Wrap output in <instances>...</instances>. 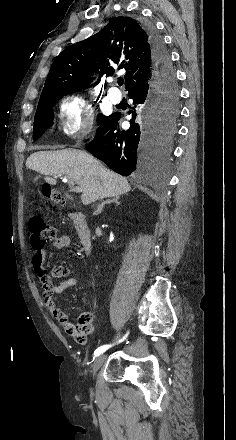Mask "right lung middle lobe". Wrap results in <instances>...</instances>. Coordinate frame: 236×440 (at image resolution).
<instances>
[{
    "mask_svg": "<svg viewBox=\"0 0 236 440\" xmlns=\"http://www.w3.org/2000/svg\"><path fill=\"white\" fill-rule=\"evenodd\" d=\"M63 94L65 93L51 95L39 100L34 118V140L38 139L44 133V131L52 125V106L62 97ZM153 94L155 99L161 104V110L159 112L158 140L159 143L164 146V152L157 159L156 163L160 164L164 161L169 153V143L174 134V122L178 113L179 91L176 83L169 82L166 84L157 85L153 89ZM105 119L106 116L99 114L97 124L100 125Z\"/></svg>",
    "mask_w": 236,
    "mask_h": 440,
    "instance_id": "1",
    "label": "right lung middle lobe"
}]
</instances>
